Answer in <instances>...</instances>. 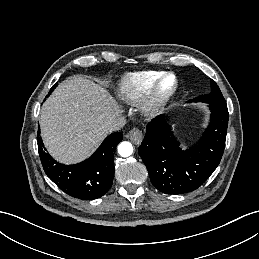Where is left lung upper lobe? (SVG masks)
I'll return each mask as SVG.
<instances>
[{
    "mask_svg": "<svg viewBox=\"0 0 259 259\" xmlns=\"http://www.w3.org/2000/svg\"><path fill=\"white\" fill-rule=\"evenodd\" d=\"M211 93L210 94H206V95H201L192 101H202L205 103H225L224 97L219 89V87L217 86L216 82L211 80Z\"/></svg>",
    "mask_w": 259,
    "mask_h": 259,
    "instance_id": "1",
    "label": "left lung upper lobe"
}]
</instances>
